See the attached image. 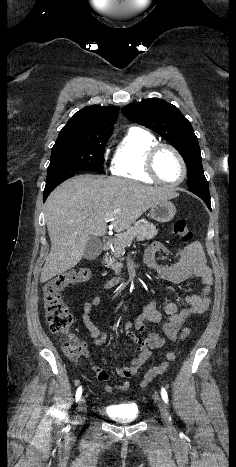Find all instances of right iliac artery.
<instances>
[{"label": "right iliac artery", "mask_w": 236, "mask_h": 467, "mask_svg": "<svg viewBox=\"0 0 236 467\" xmlns=\"http://www.w3.org/2000/svg\"><path fill=\"white\" fill-rule=\"evenodd\" d=\"M81 395H82V387L80 386L76 391V402L80 400Z\"/></svg>", "instance_id": "obj_1"}]
</instances>
